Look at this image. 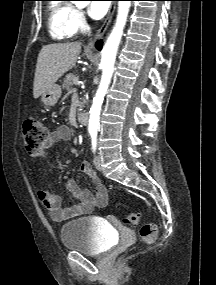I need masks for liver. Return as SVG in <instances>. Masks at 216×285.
I'll return each mask as SVG.
<instances>
[{
  "mask_svg": "<svg viewBox=\"0 0 216 285\" xmlns=\"http://www.w3.org/2000/svg\"><path fill=\"white\" fill-rule=\"evenodd\" d=\"M80 42L55 43L42 47L37 58L33 96L37 99L76 65Z\"/></svg>",
  "mask_w": 216,
  "mask_h": 285,
  "instance_id": "obj_1",
  "label": "liver"
}]
</instances>
